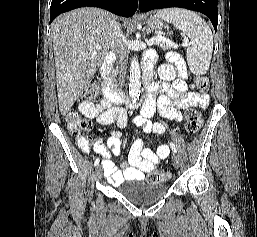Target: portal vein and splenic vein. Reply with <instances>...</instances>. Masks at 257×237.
I'll list each match as a JSON object with an SVG mask.
<instances>
[{"mask_svg":"<svg viewBox=\"0 0 257 237\" xmlns=\"http://www.w3.org/2000/svg\"><path fill=\"white\" fill-rule=\"evenodd\" d=\"M158 41L164 42V43H166L168 46H170V47H172V48H177V47H178L177 44L172 43L170 40H168V39H166V38H164V37H153V38H151V39L147 42V44L151 46V45H153L155 42H158ZM182 45H183V46H187V45H188V39H185V40H184V43H183Z\"/></svg>","mask_w":257,"mask_h":237,"instance_id":"portal-vein-and-splenic-vein-1","label":"portal vein and splenic vein"}]
</instances>
